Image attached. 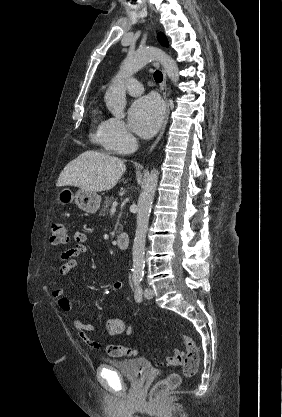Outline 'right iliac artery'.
Listing matches in <instances>:
<instances>
[{
	"mask_svg": "<svg viewBox=\"0 0 282 417\" xmlns=\"http://www.w3.org/2000/svg\"><path fill=\"white\" fill-rule=\"evenodd\" d=\"M141 279H134V285L138 286L140 283Z\"/></svg>",
	"mask_w": 282,
	"mask_h": 417,
	"instance_id": "1",
	"label": "right iliac artery"
}]
</instances>
